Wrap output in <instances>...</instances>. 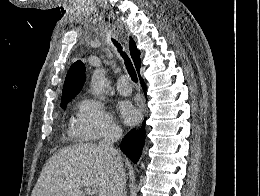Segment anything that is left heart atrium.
Segmentation results:
<instances>
[{"instance_id": "left-heart-atrium-1", "label": "left heart atrium", "mask_w": 260, "mask_h": 196, "mask_svg": "<svg viewBox=\"0 0 260 196\" xmlns=\"http://www.w3.org/2000/svg\"><path fill=\"white\" fill-rule=\"evenodd\" d=\"M119 109L125 123L133 124L136 122L138 117L137 111L129 102L121 103ZM121 191L122 190H107V192H121Z\"/></svg>"}]
</instances>
